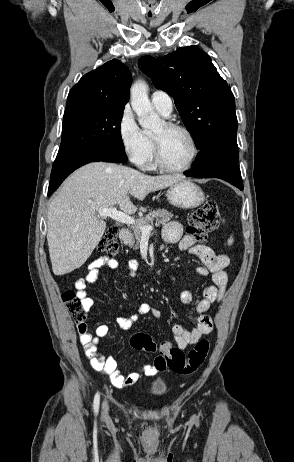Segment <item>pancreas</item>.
Returning <instances> with one entry per match:
<instances>
[{"instance_id":"pancreas-1","label":"pancreas","mask_w":294,"mask_h":462,"mask_svg":"<svg viewBox=\"0 0 294 462\" xmlns=\"http://www.w3.org/2000/svg\"><path fill=\"white\" fill-rule=\"evenodd\" d=\"M172 217L173 214L164 209L150 211L145 217L140 218L137 221V225L132 227L133 233H129L125 240V244H127L129 247L137 249L142 237L140 226L152 225L154 222L156 226L164 225L169 222Z\"/></svg>"}]
</instances>
